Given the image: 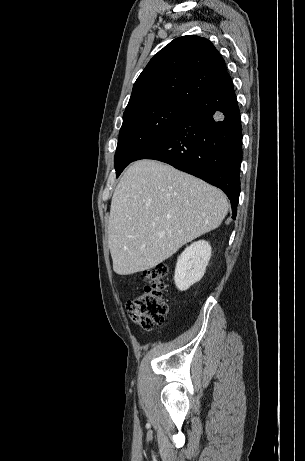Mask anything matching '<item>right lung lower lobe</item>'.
Wrapping results in <instances>:
<instances>
[{"mask_svg":"<svg viewBox=\"0 0 305 461\" xmlns=\"http://www.w3.org/2000/svg\"><path fill=\"white\" fill-rule=\"evenodd\" d=\"M240 118L230 80L190 104L173 128L136 160L168 163L222 189L230 199L235 219L242 160Z\"/></svg>","mask_w":305,"mask_h":461,"instance_id":"1","label":"right lung lower lobe"}]
</instances>
